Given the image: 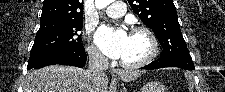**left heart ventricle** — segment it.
Here are the masks:
<instances>
[{
    "mask_svg": "<svg viewBox=\"0 0 225 92\" xmlns=\"http://www.w3.org/2000/svg\"><path fill=\"white\" fill-rule=\"evenodd\" d=\"M150 52V44L142 33H130L125 53L121 58L126 62H137L145 58Z\"/></svg>",
    "mask_w": 225,
    "mask_h": 92,
    "instance_id": "left-heart-ventricle-1",
    "label": "left heart ventricle"
}]
</instances>
